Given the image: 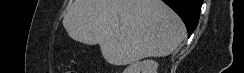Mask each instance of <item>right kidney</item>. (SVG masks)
<instances>
[{
  "label": "right kidney",
  "mask_w": 244,
  "mask_h": 73,
  "mask_svg": "<svg viewBox=\"0 0 244 73\" xmlns=\"http://www.w3.org/2000/svg\"><path fill=\"white\" fill-rule=\"evenodd\" d=\"M158 63L154 60L137 61L129 65L123 73H157Z\"/></svg>",
  "instance_id": "right-kidney-1"
}]
</instances>
